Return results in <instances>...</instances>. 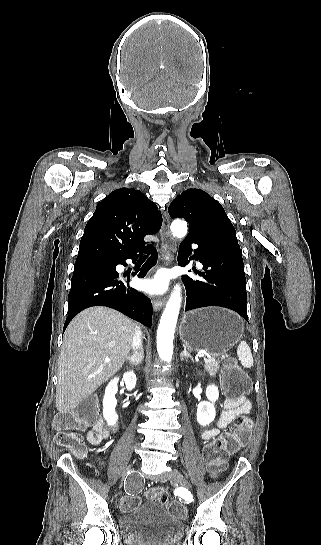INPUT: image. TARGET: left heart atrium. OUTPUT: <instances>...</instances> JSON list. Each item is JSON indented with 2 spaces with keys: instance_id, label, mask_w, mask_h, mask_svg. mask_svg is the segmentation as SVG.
<instances>
[{
  "instance_id": "obj_1",
  "label": "left heart atrium",
  "mask_w": 321,
  "mask_h": 545,
  "mask_svg": "<svg viewBox=\"0 0 321 545\" xmlns=\"http://www.w3.org/2000/svg\"><path fill=\"white\" fill-rule=\"evenodd\" d=\"M168 286V277L166 275H158L152 279L145 280L142 283V288L152 294L165 292Z\"/></svg>"
}]
</instances>
